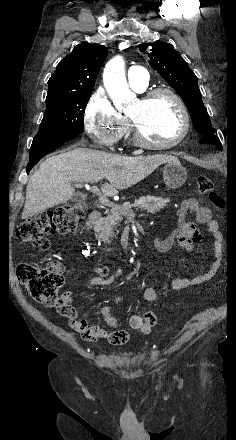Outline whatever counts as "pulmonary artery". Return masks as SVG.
<instances>
[{
  "instance_id": "obj_1",
  "label": "pulmonary artery",
  "mask_w": 236,
  "mask_h": 440,
  "mask_svg": "<svg viewBox=\"0 0 236 440\" xmlns=\"http://www.w3.org/2000/svg\"><path fill=\"white\" fill-rule=\"evenodd\" d=\"M149 81V73L143 66L134 65L128 70V82L129 85L138 91H143Z\"/></svg>"
}]
</instances>
